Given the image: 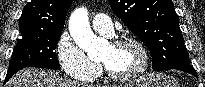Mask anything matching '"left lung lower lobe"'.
<instances>
[{
  "label": "left lung lower lobe",
  "instance_id": "1",
  "mask_svg": "<svg viewBox=\"0 0 205 87\" xmlns=\"http://www.w3.org/2000/svg\"><path fill=\"white\" fill-rule=\"evenodd\" d=\"M174 69H177V70H181V71L190 73V74H192V75H194V76L197 77V74H196V72H195V69H194L191 65L177 66V67H175Z\"/></svg>",
  "mask_w": 205,
  "mask_h": 87
}]
</instances>
